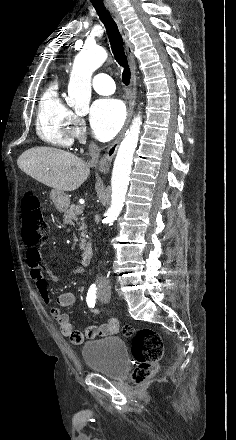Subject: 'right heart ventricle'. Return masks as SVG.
I'll list each match as a JSON object with an SVG mask.
<instances>
[{"instance_id": "right-heart-ventricle-1", "label": "right heart ventricle", "mask_w": 236, "mask_h": 440, "mask_svg": "<svg viewBox=\"0 0 236 440\" xmlns=\"http://www.w3.org/2000/svg\"><path fill=\"white\" fill-rule=\"evenodd\" d=\"M74 116L61 99L58 82H50L40 98L37 109L36 126L39 137L55 147H70L74 138Z\"/></svg>"}]
</instances>
